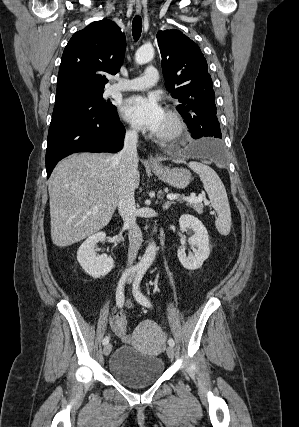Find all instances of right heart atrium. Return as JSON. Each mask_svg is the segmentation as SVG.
Returning a JSON list of instances; mask_svg holds the SVG:
<instances>
[{"mask_svg": "<svg viewBox=\"0 0 299 427\" xmlns=\"http://www.w3.org/2000/svg\"><path fill=\"white\" fill-rule=\"evenodd\" d=\"M128 132H129L130 134H132V135H134V134L136 133V131H135V129H134V128H130V129L128 130Z\"/></svg>", "mask_w": 299, "mask_h": 427, "instance_id": "1", "label": "right heart atrium"}]
</instances>
